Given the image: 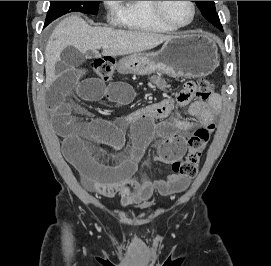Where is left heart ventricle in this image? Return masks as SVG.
<instances>
[{
    "mask_svg": "<svg viewBox=\"0 0 271 266\" xmlns=\"http://www.w3.org/2000/svg\"><path fill=\"white\" fill-rule=\"evenodd\" d=\"M163 10L166 16L178 25L188 23L192 16L189 1H163Z\"/></svg>",
    "mask_w": 271,
    "mask_h": 266,
    "instance_id": "obj_1",
    "label": "left heart ventricle"
}]
</instances>
